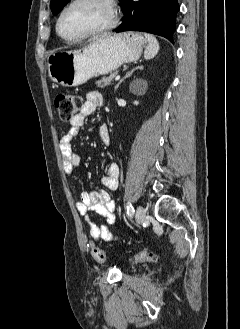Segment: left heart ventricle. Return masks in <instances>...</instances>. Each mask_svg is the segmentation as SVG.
I'll list each match as a JSON object with an SVG mask.
<instances>
[{
    "instance_id": "obj_1",
    "label": "left heart ventricle",
    "mask_w": 240,
    "mask_h": 329,
    "mask_svg": "<svg viewBox=\"0 0 240 329\" xmlns=\"http://www.w3.org/2000/svg\"><path fill=\"white\" fill-rule=\"evenodd\" d=\"M110 21V11L102 0H81L65 12L60 31L66 37H77L103 27Z\"/></svg>"
}]
</instances>
